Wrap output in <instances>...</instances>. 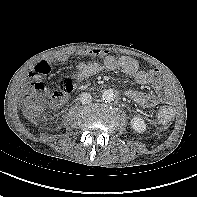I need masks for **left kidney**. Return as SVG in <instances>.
<instances>
[{"instance_id":"left-kidney-1","label":"left kidney","mask_w":197,"mask_h":197,"mask_svg":"<svg viewBox=\"0 0 197 197\" xmlns=\"http://www.w3.org/2000/svg\"><path fill=\"white\" fill-rule=\"evenodd\" d=\"M131 126L138 133H143L146 131V124L141 117H133L131 120Z\"/></svg>"}]
</instances>
